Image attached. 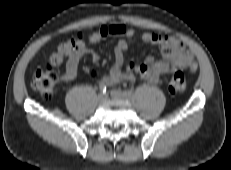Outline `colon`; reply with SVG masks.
Here are the masks:
<instances>
[{
	"instance_id": "obj_1",
	"label": "colon",
	"mask_w": 231,
	"mask_h": 170,
	"mask_svg": "<svg viewBox=\"0 0 231 170\" xmlns=\"http://www.w3.org/2000/svg\"><path fill=\"white\" fill-rule=\"evenodd\" d=\"M76 43V39H71L60 44L57 51L51 55L48 64L35 72L31 87L43 98L50 99L55 94L58 75L54 67L60 65L73 52ZM186 88L187 81L184 74L180 71L175 72L170 79L169 90L172 93H180L184 92Z\"/></svg>"
}]
</instances>
